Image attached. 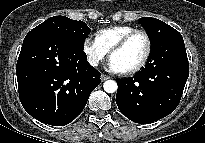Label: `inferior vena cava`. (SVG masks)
I'll return each instance as SVG.
<instances>
[{
  "label": "inferior vena cava",
  "instance_id": "602c4592",
  "mask_svg": "<svg viewBox=\"0 0 205 143\" xmlns=\"http://www.w3.org/2000/svg\"><path fill=\"white\" fill-rule=\"evenodd\" d=\"M89 63H90V65H92V66H97V65H98V60L95 59V58H90V59H89Z\"/></svg>",
  "mask_w": 205,
  "mask_h": 143
}]
</instances>
